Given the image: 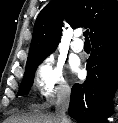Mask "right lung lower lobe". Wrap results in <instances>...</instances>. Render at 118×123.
I'll list each match as a JSON object with an SVG mask.
<instances>
[{
	"label": "right lung lower lobe",
	"instance_id": "98d812e1",
	"mask_svg": "<svg viewBox=\"0 0 118 123\" xmlns=\"http://www.w3.org/2000/svg\"><path fill=\"white\" fill-rule=\"evenodd\" d=\"M87 78L72 88L69 115L79 123H105L118 87V28L92 41Z\"/></svg>",
	"mask_w": 118,
	"mask_h": 123
}]
</instances>
